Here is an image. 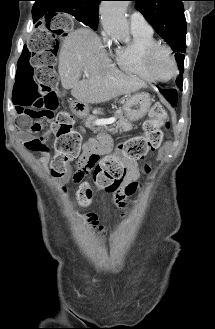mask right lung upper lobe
Returning a JSON list of instances; mask_svg holds the SVG:
<instances>
[{"label": "right lung upper lobe", "mask_w": 215, "mask_h": 329, "mask_svg": "<svg viewBox=\"0 0 215 329\" xmlns=\"http://www.w3.org/2000/svg\"><path fill=\"white\" fill-rule=\"evenodd\" d=\"M101 0H35L32 10L34 22L38 21L41 17L48 15H56L63 13L64 7H71L75 10H82L83 15L90 21H99L98 6Z\"/></svg>", "instance_id": "cb5924a9"}]
</instances>
